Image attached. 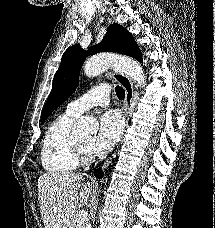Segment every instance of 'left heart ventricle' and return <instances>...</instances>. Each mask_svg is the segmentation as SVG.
Returning a JSON list of instances; mask_svg holds the SVG:
<instances>
[{
    "label": "left heart ventricle",
    "mask_w": 215,
    "mask_h": 228,
    "mask_svg": "<svg viewBox=\"0 0 215 228\" xmlns=\"http://www.w3.org/2000/svg\"><path fill=\"white\" fill-rule=\"evenodd\" d=\"M79 140L86 146H91L93 143V137L79 138Z\"/></svg>",
    "instance_id": "1"
}]
</instances>
